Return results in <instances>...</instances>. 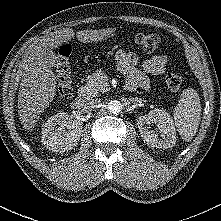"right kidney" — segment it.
Here are the masks:
<instances>
[{
  "instance_id": "right-kidney-1",
  "label": "right kidney",
  "mask_w": 221,
  "mask_h": 221,
  "mask_svg": "<svg viewBox=\"0 0 221 221\" xmlns=\"http://www.w3.org/2000/svg\"><path fill=\"white\" fill-rule=\"evenodd\" d=\"M42 127L41 141L45 147L60 153L77 146L83 132L81 119L72 121L65 112L53 115Z\"/></svg>"
}]
</instances>
